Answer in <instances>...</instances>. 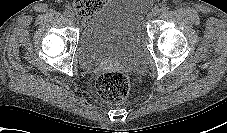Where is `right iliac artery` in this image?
Returning a JSON list of instances; mask_svg holds the SVG:
<instances>
[{"label":"right iliac artery","instance_id":"82829eb1","mask_svg":"<svg viewBox=\"0 0 227 133\" xmlns=\"http://www.w3.org/2000/svg\"><path fill=\"white\" fill-rule=\"evenodd\" d=\"M70 14H71V13H70L69 10L66 9V10L64 11V15H65V16H70Z\"/></svg>","mask_w":227,"mask_h":133}]
</instances>
